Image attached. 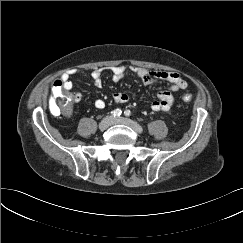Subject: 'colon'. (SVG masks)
Listing matches in <instances>:
<instances>
[{"instance_id":"5ec220e1","label":"colon","mask_w":243,"mask_h":243,"mask_svg":"<svg viewBox=\"0 0 243 243\" xmlns=\"http://www.w3.org/2000/svg\"><path fill=\"white\" fill-rule=\"evenodd\" d=\"M185 102L192 100L191 94L183 96ZM74 97L68 93L62 86L60 81H56L52 87V96L49 102V107L54 115L69 114L72 111Z\"/></svg>"}]
</instances>
